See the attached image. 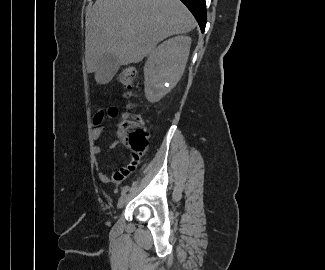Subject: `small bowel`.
<instances>
[{
    "label": "small bowel",
    "mask_w": 325,
    "mask_h": 270,
    "mask_svg": "<svg viewBox=\"0 0 325 270\" xmlns=\"http://www.w3.org/2000/svg\"><path fill=\"white\" fill-rule=\"evenodd\" d=\"M102 115V114H101ZM101 115L99 119L101 118ZM105 115L108 119H115L119 116V109L116 106H111L105 111ZM103 133V128L100 125H95L91 130V138L92 140L98 141ZM116 143H112L109 148L113 149L115 147ZM102 153V148L99 145L93 146V154L95 158H98ZM96 167L99 179L103 183H119L123 178H125L134 168H128L127 166L121 167L114 171L112 177H110L108 174H106L99 166L98 161L96 160Z\"/></svg>",
    "instance_id": "c3829d8e"
}]
</instances>
